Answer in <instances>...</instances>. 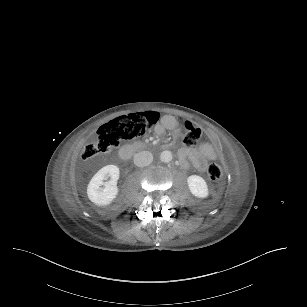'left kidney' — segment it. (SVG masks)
I'll return each mask as SVG.
<instances>
[{
    "instance_id": "1",
    "label": "left kidney",
    "mask_w": 307,
    "mask_h": 307,
    "mask_svg": "<svg viewBox=\"0 0 307 307\" xmlns=\"http://www.w3.org/2000/svg\"><path fill=\"white\" fill-rule=\"evenodd\" d=\"M187 184L190 192L194 196L199 198H206L208 196V186L202 177L191 175L187 178Z\"/></svg>"
}]
</instances>
